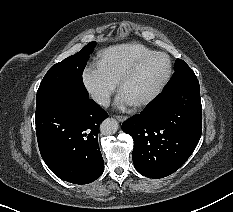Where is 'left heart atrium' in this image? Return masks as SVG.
Masks as SVG:
<instances>
[{"mask_svg":"<svg viewBox=\"0 0 233 212\" xmlns=\"http://www.w3.org/2000/svg\"><path fill=\"white\" fill-rule=\"evenodd\" d=\"M118 104L119 105H129V104H132L131 101L127 98V96L121 92L119 97H118Z\"/></svg>","mask_w":233,"mask_h":212,"instance_id":"1","label":"left heart atrium"}]
</instances>
